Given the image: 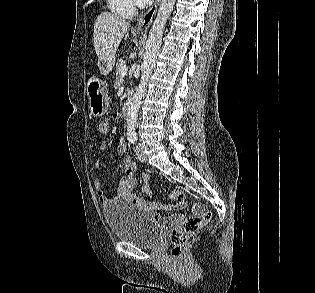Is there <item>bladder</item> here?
<instances>
[{"label":"bladder","mask_w":315,"mask_h":293,"mask_svg":"<svg viewBox=\"0 0 315 293\" xmlns=\"http://www.w3.org/2000/svg\"><path fill=\"white\" fill-rule=\"evenodd\" d=\"M112 235L140 247L154 246L161 237V229L148 213L129 203H115L104 211Z\"/></svg>","instance_id":"31cf9c89"}]
</instances>
